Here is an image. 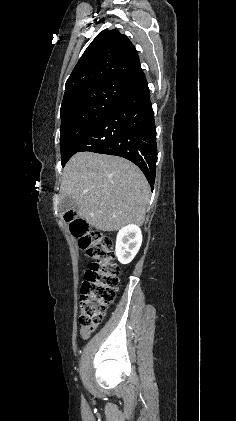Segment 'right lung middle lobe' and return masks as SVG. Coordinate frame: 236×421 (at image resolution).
I'll use <instances>...</instances> for the list:
<instances>
[{
    "mask_svg": "<svg viewBox=\"0 0 236 421\" xmlns=\"http://www.w3.org/2000/svg\"><path fill=\"white\" fill-rule=\"evenodd\" d=\"M121 86L83 91L61 105V163L73 156L79 140L126 96Z\"/></svg>",
    "mask_w": 236,
    "mask_h": 421,
    "instance_id": "1",
    "label": "right lung middle lobe"
}]
</instances>
